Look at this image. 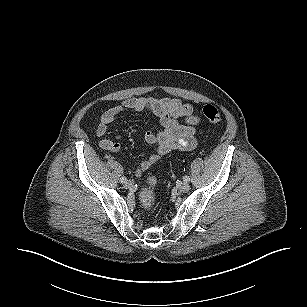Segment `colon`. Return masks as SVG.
Returning a JSON list of instances; mask_svg holds the SVG:
<instances>
[{
	"instance_id": "colon-1",
	"label": "colon",
	"mask_w": 307,
	"mask_h": 307,
	"mask_svg": "<svg viewBox=\"0 0 307 307\" xmlns=\"http://www.w3.org/2000/svg\"><path fill=\"white\" fill-rule=\"evenodd\" d=\"M203 114L212 124H216L221 120L219 109L212 104H207L203 107ZM154 185L155 179L152 177L149 178V186L142 189L139 194V202L144 209H151L156 204L157 195L154 190Z\"/></svg>"
}]
</instances>
